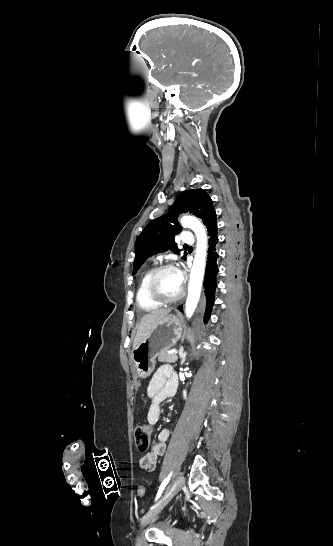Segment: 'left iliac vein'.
<instances>
[{
  "mask_svg": "<svg viewBox=\"0 0 333 546\" xmlns=\"http://www.w3.org/2000/svg\"><path fill=\"white\" fill-rule=\"evenodd\" d=\"M185 483L184 476L180 475L168 487L164 496L143 516L141 528L145 527L173 498ZM137 546H140V538L137 539Z\"/></svg>",
  "mask_w": 333,
  "mask_h": 546,
  "instance_id": "1",
  "label": "left iliac vein"
}]
</instances>
